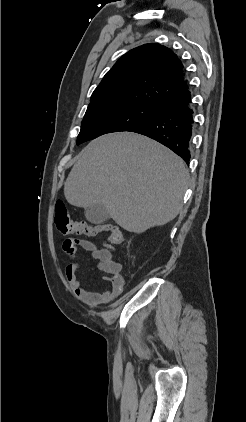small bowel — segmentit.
Listing matches in <instances>:
<instances>
[{"instance_id": "small-bowel-1", "label": "small bowel", "mask_w": 246, "mask_h": 422, "mask_svg": "<svg viewBox=\"0 0 246 422\" xmlns=\"http://www.w3.org/2000/svg\"><path fill=\"white\" fill-rule=\"evenodd\" d=\"M78 248L91 252L99 262L100 268L108 274L105 279L108 281L109 287L105 291L94 292L84 288L78 277L80 272V263L77 258ZM63 250L70 259L65 270L66 278L76 295L84 302L94 306L103 305L113 301L122 293L124 288V279L121 274L122 266L113 260L110 251L99 248L92 241L82 239H66L63 243Z\"/></svg>"}]
</instances>
